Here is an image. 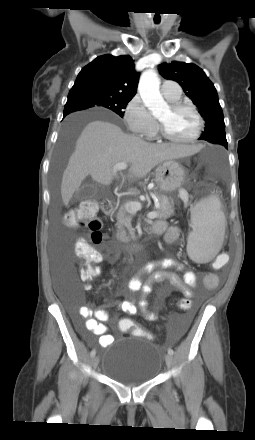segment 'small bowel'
I'll return each mask as SVG.
<instances>
[{"mask_svg":"<svg viewBox=\"0 0 255 440\" xmlns=\"http://www.w3.org/2000/svg\"><path fill=\"white\" fill-rule=\"evenodd\" d=\"M155 226L166 230L165 242L170 245L176 242L181 237V229L178 226H170L167 228L165 221H159ZM167 268H175L178 271H182V277L175 272L166 270ZM148 275L146 282H143L141 277ZM207 276V275H206ZM206 276L204 278V285L206 289H214L218 284V278L216 275L210 277L206 282ZM169 283L172 287L179 290L184 298L194 297V289L198 283V277L193 271L184 270V266L174 259H163L159 261H153L146 264L140 270L138 276L132 278L129 282V290L131 292H142L144 295L149 294L152 291L154 284ZM164 290V293H167ZM119 308L127 314L141 313L148 321H154L157 319V314L148 308V303L145 299H136L130 297L119 303ZM78 317L84 318L85 322L81 324ZM190 317V315H189ZM109 320V315L103 309H94L88 306H82L78 310V316H75V322L77 328L80 331H88L99 337V344L102 347H107L112 344L114 337L107 333L108 328L105 322Z\"/></svg>","mask_w":255,"mask_h":440,"instance_id":"1","label":"small bowel"}]
</instances>
